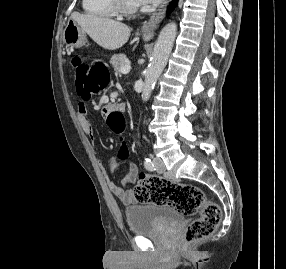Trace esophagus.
Masks as SVG:
<instances>
[{
    "instance_id": "esophagus-1",
    "label": "esophagus",
    "mask_w": 286,
    "mask_h": 269,
    "mask_svg": "<svg viewBox=\"0 0 286 269\" xmlns=\"http://www.w3.org/2000/svg\"><path fill=\"white\" fill-rule=\"evenodd\" d=\"M171 0H166L150 17L148 22L141 27V32L146 39H151L163 18L165 17L166 8Z\"/></svg>"
}]
</instances>
